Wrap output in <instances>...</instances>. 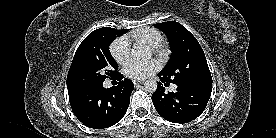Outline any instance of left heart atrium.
Returning <instances> with one entry per match:
<instances>
[{"label":"left heart atrium","instance_id":"left-heart-atrium-1","mask_svg":"<svg viewBox=\"0 0 276 138\" xmlns=\"http://www.w3.org/2000/svg\"><path fill=\"white\" fill-rule=\"evenodd\" d=\"M159 69L158 62L151 60L146 62L130 61L125 66V74L134 79H144Z\"/></svg>","mask_w":276,"mask_h":138}]
</instances>
